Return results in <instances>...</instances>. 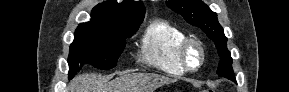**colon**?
I'll use <instances>...</instances> for the list:
<instances>
[{
  "label": "colon",
  "instance_id": "obj_1",
  "mask_svg": "<svg viewBox=\"0 0 289 92\" xmlns=\"http://www.w3.org/2000/svg\"><path fill=\"white\" fill-rule=\"evenodd\" d=\"M207 92H214V91H212V90H209V91H207Z\"/></svg>",
  "mask_w": 289,
  "mask_h": 92
}]
</instances>
